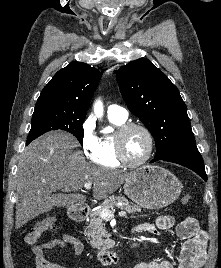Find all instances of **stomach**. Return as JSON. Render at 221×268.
<instances>
[{"label":"stomach","mask_w":221,"mask_h":268,"mask_svg":"<svg viewBox=\"0 0 221 268\" xmlns=\"http://www.w3.org/2000/svg\"><path fill=\"white\" fill-rule=\"evenodd\" d=\"M181 190L182 184L173 173L154 165L140 167L124 183L125 194L147 209H160L172 204Z\"/></svg>","instance_id":"stomach-1"}]
</instances>
